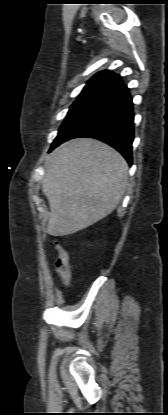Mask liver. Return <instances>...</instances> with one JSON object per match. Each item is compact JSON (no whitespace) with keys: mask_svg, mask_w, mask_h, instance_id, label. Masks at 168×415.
Returning a JSON list of instances; mask_svg holds the SVG:
<instances>
[{"mask_svg":"<svg viewBox=\"0 0 168 415\" xmlns=\"http://www.w3.org/2000/svg\"><path fill=\"white\" fill-rule=\"evenodd\" d=\"M128 183V164L109 145L90 138L68 141L48 158L42 192L50 207L47 232L66 236L109 215Z\"/></svg>","mask_w":168,"mask_h":415,"instance_id":"obj_1","label":"liver"}]
</instances>
